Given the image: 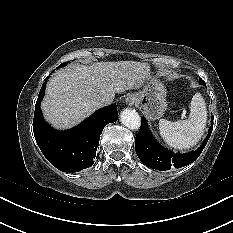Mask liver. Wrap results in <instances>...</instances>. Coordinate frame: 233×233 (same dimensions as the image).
<instances>
[{
    "label": "liver",
    "mask_w": 233,
    "mask_h": 233,
    "mask_svg": "<svg viewBox=\"0 0 233 233\" xmlns=\"http://www.w3.org/2000/svg\"><path fill=\"white\" fill-rule=\"evenodd\" d=\"M150 78L148 66L136 61L72 64L47 83L41 103L45 119L56 129H69L101 106V97L141 88Z\"/></svg>",
    "instance_id": "1"
}]
</instances>
